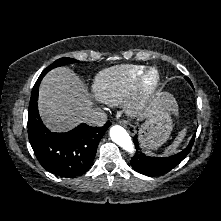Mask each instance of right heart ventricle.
<instances>
[{"mask_svg":"<svg viewBox=\"0 0 221 221\" xmlns=\"http://www.w3.org/2000/svg\"><path fill=\"white\" fill-rule=\"evenodd\" d=\"M143 70L140 65L124 64L99 72L92 86L95 98L111 106L121 104L131 94Z\"/></svg>","mask_w":221,"mask_h":221,"instance_id":"e07e8e85","label":"right heart ventricle"}]
</instances>
